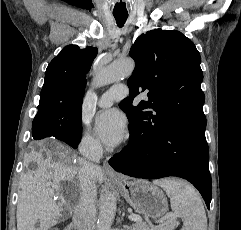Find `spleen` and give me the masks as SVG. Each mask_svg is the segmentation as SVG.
I'll return each instance as SVG.
<instances>
[{
    "instance_id": "3e777b00",
    "label": "spleen",
    "mask_w": 241,
    "mask_h": 230,
    "mask_svg": "<svg viewBox=\"0 0 241 230\" xmlns=\"http://www.w3.org/2000/svg\"><path fill=\"white\" fill-rule=\"evenodd\" d=\"M155 184L170 198L171 209L183 219L182 230H207V217L200 194L180 179H163Z\"/></svg>"
}]
</instances>
